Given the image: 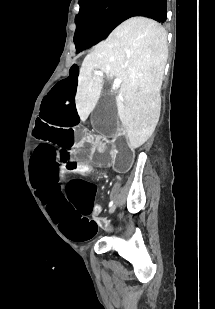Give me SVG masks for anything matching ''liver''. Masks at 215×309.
Listing matches in <instances>:
<instances>
[{
	"label": "liver",
	"instance_id": "obj_1",
	"mask_svg": "<svg viewBox=\"0 0 215 309\" xmlns=\"http://www.w3.org/2000/svg\"><path fill=\"white\" fill-rule=\"evenodd\" d=\"M167 52V32L156 20L132 16L121 22L82 62L75 96L81 120L88 118L100 98L102 84L94 70H101L109 78L122 80L116 104L129 148L144 144L158 122L160 108L155 98Z\"/></svg>",
	"mask_w": 215,
	"mask_h": 309
}]
</instances>
